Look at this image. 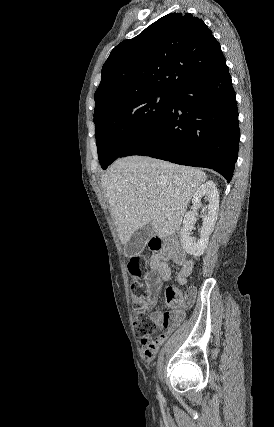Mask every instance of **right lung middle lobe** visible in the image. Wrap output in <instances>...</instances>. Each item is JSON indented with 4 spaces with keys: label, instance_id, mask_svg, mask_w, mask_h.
I'll use <instances>...</instances> for the list:
<instances>
[{
    "label": "right lung middle lobe",
    "instance_id": "right-lung-middle-lobe-1",
    "mask_svg": "<svg viewBox=\"0 0 274 427\" xmlns=\"http://www.w3.org/2000/svg\"><path fill=\"white\" fill-rule=\"evenodd\" d=\"M171 100L168 93L132 96L95 116L101 167L106 169L128 146L147 135L163 119Z\"/></svg>",
    "mask_w": 274,
    "mask_h": 427
}]
</instances>
